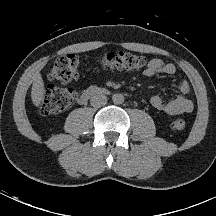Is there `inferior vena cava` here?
<instances>
[{"label": "inferior vena cava", "instance_id": "obj_1", "mask_svg": "<svg viewBox=\"0 0 216 216\" xmlns=\"http://www.w3.org/2000/svg\"><path fill=\"white\" fill-rule=\"evenodd\" d=\"M107 103V97L102 93L93 94L90 98V104L93 107L100 108Z\"/></svg>", "mask_w": 216, "mask_h": 216}]
</instances>
